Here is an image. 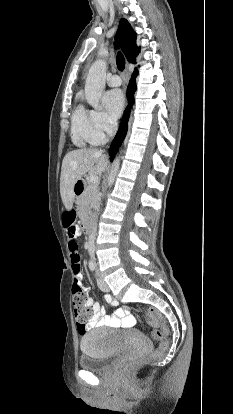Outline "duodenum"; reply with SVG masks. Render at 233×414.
<instances>
[{"label":"duodenum","instance_id":"410a0bca","mask_svg":"<svg viewBox=\"0 0 233 414\" xmlns=\"http://www.w3.org/2000/svg\"><path fill=\"white\" fill-rule=\"evenodd\" d=\"M84 188L85 186H84L83 181L81 180L76 181L73 185V194L75 196L82 194L84 191ZM92 229H93V219L92 217H88L83 222V230L87 233H90Z\"/></svg>","mask_w":233,"mask_h":414}]
</instances>
